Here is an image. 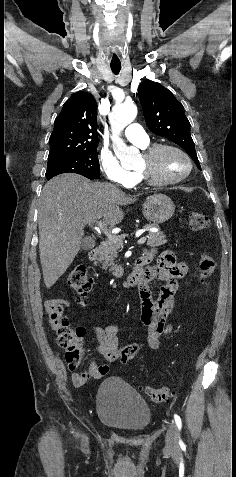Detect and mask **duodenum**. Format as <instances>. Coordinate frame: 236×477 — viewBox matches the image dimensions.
Returning a JSON list of instances; mask_svg holds the SVG:
<instances>
[{
    "mask_svg": "<svg viewBox=\"0 0 236 477\" xmlns=\"http://www.w3.org/2000/svg\"><path fill=\"white\" fill-rule=\"evenodd\" d=\"M98 258V248H93L89 251V259L91 261H96ZM149 263V260L145 257L138 258L135 263L132 272L123 282V285L126 289H132L135 287H140L146 283L144 276L145 265Z\"/></svg>",
    "mask_w": 236,
    "mask_h": 477,
    "instance_id": "1",
    "label": "duodenum"
}]
</instances>
